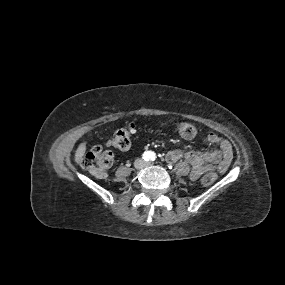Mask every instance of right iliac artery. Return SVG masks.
Returning <instances> with one entry per match:
<instances>
[{"label": "right iliac artery", "instance_id": "right-iliac-artery-1", "mask_svg": "<svg viewBox=\"0 0 285 285\" xmlns=\"http://www.w3.org/2000/svg\"><path fill=\"white\" fill-rule=\"evenodd\" d=\"M142 158H143L145 161H148V160H149V158H150L149 153H148V152H144V154H143Z\"/></svg>", "mask_w": 285, "mask_h": 285}]
</instances>
